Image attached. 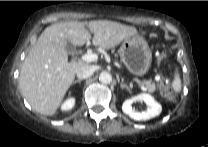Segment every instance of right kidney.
<instances>
[{"mask_svg": "<svg viewBox=\"0 0 208 147\" xmlns=\"http://www.w3.org/2000/svg\"><path fill=\"white\" fill-rule=\"evenodd\" d=\"M75 99L73 97L68 98L62 105V109L69 111L74 107Z\"/></svg>", "mask_w": 208, "mask_h": 147, "instance_id": "1", "label": "right kidney"}]
</instances>
